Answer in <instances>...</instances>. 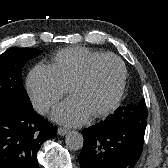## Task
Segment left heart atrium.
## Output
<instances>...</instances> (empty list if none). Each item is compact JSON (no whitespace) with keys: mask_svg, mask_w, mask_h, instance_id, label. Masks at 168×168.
Returning a JSON list of instances; mask_svg holds the SVG:
<instances>
[{"mask_svg":"<svg viewBox=\"0 0 168 168\" xmlns=\"http://www.w3.org/2000/svg\"><path fill=\"white\" fill-rule=\"evenodd\" d=\"M91 114L79 97L71 96L54 110L52 118L65 125L78 126L85 123Z\"/></svg>","mask_w":168,"mask_h":168,"instance_id":"obj_1","label":"left heart atrium"}]
</instances>
